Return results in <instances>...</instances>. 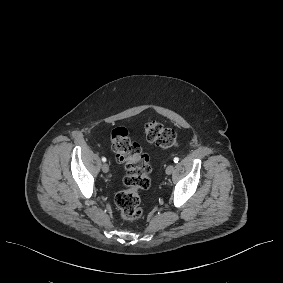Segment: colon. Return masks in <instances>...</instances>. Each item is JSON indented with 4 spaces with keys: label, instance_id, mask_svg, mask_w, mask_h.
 <instances>
[{
    "label": "colon",
    "instance_id": "obj_1",
    "mask_svg": "<svg viewBox=\"0 0 283 283\" xmlns=\"http://www.w3.org/2000/svg\"><path fill=\"white\" fill-rule=\"evenodd\" d=\"M144 131L149 142L162 148H172L177 144L175 131L155 120L145 123ZM110 142L116 159L124 163L126 169L123 178L125 189L116 194L115 204L125 221L134 222L143 215L139 192L147 190L151 184L149 157L142 152L138 143L130 139L124 127L112 131Z\"/></svg>",
    "mask_w": 283,
    "mask_h": 283
}]
</instances>
